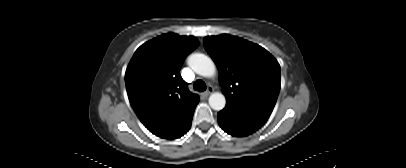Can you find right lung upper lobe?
Wrapping results in <instances>:
<instances>
[{
  "mask_svg": "<svg viewBox=\"0 0 406 168\" xmlns=\"http://www.w3.org/2000/svg\"><path fill=\"white\" fill-rule=\"evenodd\" d=\"M198 45L193 36L163 34L140 46L127 67L131 106L156 136L168 138L199 102L179 74L185 57Z\"/></svg>",
  "mask_w": 406,
  "mask_h": 168,
  "instance_id": "right-lung-upper-lobe-1",
  "label": "right lung upper lobe"
}]
</instances>
